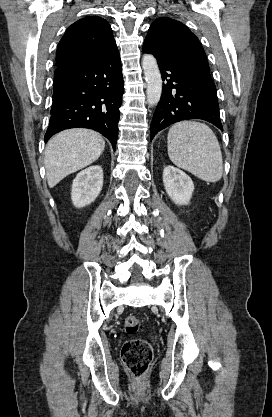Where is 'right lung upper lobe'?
I'll return each instance as SVG.
<instances>
[{
  "instance_id": "cb5924a9",
  "label": "right lung upper lobe",
  "mask_w": 272,
  "mask_h": 417,
  "mask_svg": "<svg viewBox=\"0 0 272 417\" xmlns=\"http://www.w3.org/2000/svg\"><path fill=\"white\" fill-rule=\"evenodd\" d=\"M114 45L112 29L100 17H87L73 23L57 48L56 67L85 65L97 61Z\"/></svg>"
}]
</instances>
